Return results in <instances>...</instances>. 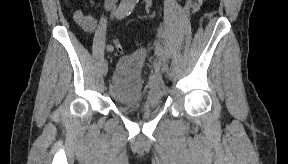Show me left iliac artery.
<instances>
[{"instance_id":"44dca946","label":"left iliac artery","mask_w":288,"mask_h":164,"mask_svg":"<svg viewBox=\"0 0 288 164\" xmlns=\"http://www.w3.org/2000/svg\"><path fill=\"white\" fill-rule=\"evenodd\" d=\"M144 2L146 3V6H147V7L151 5V0H144ZM165 55H166V50H165L164 47H161V49H160V56H161V58H164Z\"/></svg>"}]
</instances>
